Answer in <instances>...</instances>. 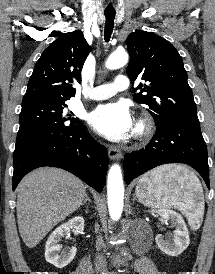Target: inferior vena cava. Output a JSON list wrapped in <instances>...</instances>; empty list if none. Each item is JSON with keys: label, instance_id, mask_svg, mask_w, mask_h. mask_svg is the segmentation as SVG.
Instances as JSON below:
<instances>
[{"label": "inferior vena cava", "instance_id": "obj_1", "mask_svg": "<svg viewBox=\"0 0 215 274\" xmlns=\"http://www.w3.org/2000/svg\"><path fill=\"white\" fill-rule=\"evenodd\" d=\"M95 265L97 270L102 271L106 269V261L102 255H97Z\"/></svg>", "mask_w": 215, "mask_h": 274}]
</instances>
